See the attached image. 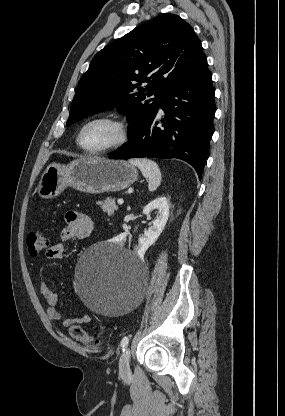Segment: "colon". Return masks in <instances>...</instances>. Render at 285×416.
<instances>
[{
  "mask_svg": "<svg viewBox=\"0 0 285 416\" xmlns=\"http://www.w3.org/2000/svg\"><path fill=\"white\" fill-rule=\"evenodd\" d=\"M26 242L28 252L32 257L41 254L49 245L47 238L41 233H30ZM69 333L73 340L90 348H95L101 343L98 336L89 334L79 325L70 326Z\"/></svg>",
  "mask_w": 285,
  "mask_h": 416,
  "instance_id": "obj_1",
  "label": "colon"
}]
</instances>
